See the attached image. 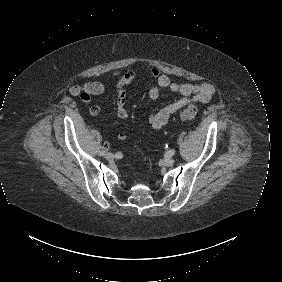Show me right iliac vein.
<instances>
[{
  "label": "right iliac vein",
  "mask_w": 282,
  "mask_h": 282,
  "mask_svg": "<svg viewBox=\"0 0 282 282\" xmlns=\"http://www.w3.org/2000/svg\"><path fill=\"white\" fill-rule=\"evenodd\" d=\"M105 158H106L107 160H110V159H112V158H113V155H112V153H110V152H107V153L105 154Z\"/></svg>",
  "instance_id": "right-iliac-vein-1"
}]
</instances>
